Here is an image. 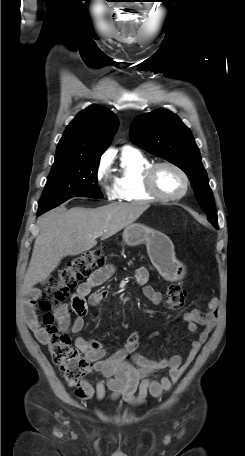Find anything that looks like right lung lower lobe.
I'll return each instance as SVG.
<instances>
[{
    "label": "right lung lower lobe",
    "instance_id": "obj_1",
    "mask_svg": "<svg viewBox=\"0 0 245 456\" xmlns=\"http://www.w3.org/2000/svg\"><path fill=\"white\" fill-rule=\"evenodd\" d=\"M37 214H38V215H41L42 213H39V212H38Z\"/></svg>",
    "mask_w": 245,
    "mask_h": 456
}]
</instances>
